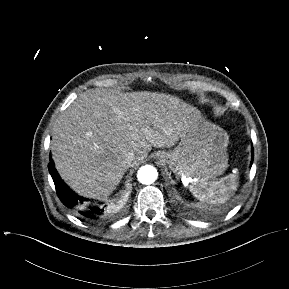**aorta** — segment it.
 <instances>
[{
  "instance_id": "aorta-1",
  "label": "aorta",
  "mask_w": 289,
  "mask_h": 289,
  "mask_svg": "<svg viewBox=\"0 0 289 289\" xmlns=\"http://www.w3.org/2000/svg\"><path fill=\"white\" fill-rule=\"evenodd\" d=\"M158 177V172L151 165L142 166L137 172V179L142 184H152Z\"/></svg>"
}]
</instances>
